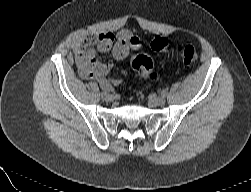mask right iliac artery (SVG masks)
<instances>
[{
  "label": "right iliac artery",
  "instance_id": "1",
  "mask_svg": "<svg viewBox=\"0 0 251 192\" xmlns=\"http://www.w3.org/2000/svg\"><path fill=\"white\" fill-rule=\"evenodd\" d=\"M108 90L104 89L103 92L101 93L102 98H105L107 95Z\"/></svg>",
  "mask_w": 251,
  "mask_h": 192
}]
</instances>
